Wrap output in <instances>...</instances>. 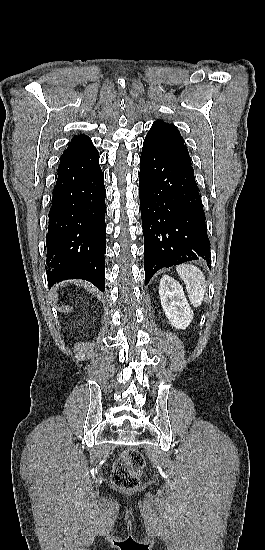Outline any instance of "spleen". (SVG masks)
I'll use <instances>...</instances> for the list:
<instances>
[{
  "label": "spleen",
  "instance_id": "obj_1",
  "mask_svg": "<svg viewBox=\"0 0 265 550\" xmlns=\"http://www.w3.org/2000/svg\"><path fill=\"white\" fill-rule=\"evenodd\" d=\"M176 270L186 285L191 304L194 307L200 306L206 291L203 272L196 266L190 264L180 265Z\"/></svg>",
  "mask_w": 265,
  "mask_h": 550
}]
</instances>
